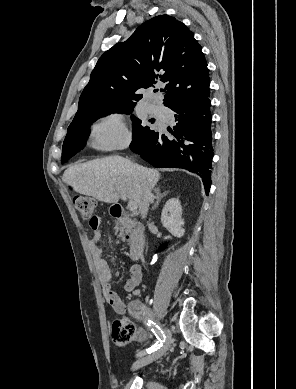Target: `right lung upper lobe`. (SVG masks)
<instances>
[{
  "mask_svg": "<svg viewBox=\"0 0 296 389\" xmlns=\"http://www.w3.org/2000/svg\"><path fill=\"white\" fill-rule=\"evenodd\" d=\"M159 82L166 84L169 108L204 93L210 84L201 46L185 24L168 15L143 23L99 58L75 117L94 108L135 106L140 89Z\"/></svg>",
  "mask_w": 296,
  "mask_h": 389,
  "instance_id": "right-lung-upper-lobe-1",
  "label": "right lung upper lobe"
}]
</instances>
